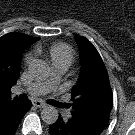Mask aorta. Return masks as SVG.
<instances>
[{
    "label": "aorta",
    "mask_w": 135,
    "mask_h": 135,
    "mask_svg": "<svg viewBox=\"0 0 135 135\" xmlns=\"http://www.w3.org/2000/svg\"><path fill=\"white\" fill-rule=\"evenodd\" d=\"M29 73L36 80H45L50 76V68L41 59H34L29 63ZM58 110L53 106H47L41 111V118L47 124H53L58 120Z\"/></svg>",
    "instance_id": "obj_1"
}]
</instances>
